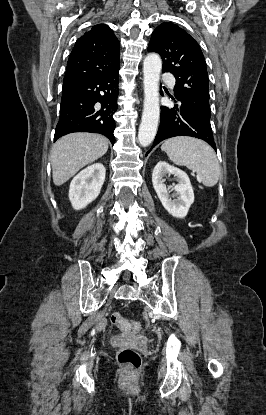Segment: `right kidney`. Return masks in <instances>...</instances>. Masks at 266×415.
Listing matches in <instances>:
<instances>
[{
	"instance_id": "1",
	"label": "right kidney",
	"mask_w": 266,
	"mask_h": 415,
	"mask_svg": "<svg viewBox=\"0 0 266 415\" xmlns=\"http://www.w3.org/2000/svg\"><path fill=\"white\" fill-rule=\"evenodd\" d=\"M106 169L101 163L88 166L77 174L70 184L69 200L75 210L85 208L100 194Z\"/></svg>"
}]
</instances>
